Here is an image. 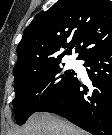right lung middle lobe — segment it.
I'll list each match as a JSON object with an SVG mask.
<instances>
[{"instance_id": "obj_1", "label": "right lung middle lobe", "mask_w": 112, "mask_h": 135, "mask_svg": "<svg viewBox=\"0 0 112 135\" xmlns=\"http://www.w3.org/2000/svg\"><path fill=\"white\" fill-rule=\"evenodd\" d=\"M60 63H49L34 73L15 78L13 106L18 125H23L30 115L60 95L73 81L76 73L63 71Z\"/></svg>"}]
</instances>
